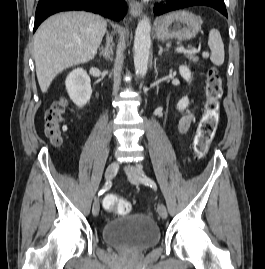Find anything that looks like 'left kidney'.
I'll return each instance as SVG.
<instances>
[{"label":"left kidney","mask_w":265,"mask_h":269,"mask_svg":"<svg viewBox=\"0 0 265 269\" xmlns=\"http://www.w3.org/2000/svg\"><path fill=\"white\" fill-rule=\"evenodd\" d=\"M179 73L180 75L183 77V79H185L187 82L191 81V71L189 69V67L185 66V65H181L179 67ZM189 105V99L187 96L183 97L182 99L179 100L178 104H177V109L179 111H183L184 109H186Z\"/></svg>","instance_id":"obj_1"}]
</instances>
